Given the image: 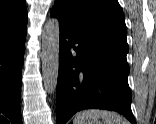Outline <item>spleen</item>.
Segmentation results:
<instances>
[{
  "label": "spleen",
  "mask_w": 156,
  "mask_h": 124,
  "mask_svg": "<svg viewBox=\"0 0 156 124\" xmlns=\"http://www.w3.org/2000/svg\"><path fill=\"white\" fill-rule=\"evenodd\" d=\"M103 119L104 124H128L121 116L111 111L88 109L76 114L73 124H92V121Z\"/></svg>",
  "instance_id": "1"
}]
</instances>
